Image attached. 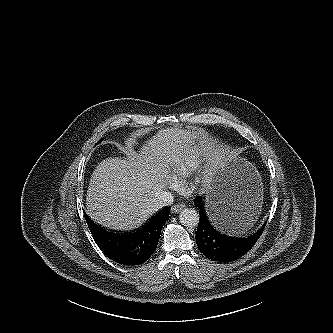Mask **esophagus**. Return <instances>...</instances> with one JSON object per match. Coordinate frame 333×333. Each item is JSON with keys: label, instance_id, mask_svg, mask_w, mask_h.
Returning <instances> with one entry per match:
<instances>
[{"label": "esophagus", "instance_id": "1", "mask_svg": "<svg viewBox=\"0 0 333 333\" xmlns=\"http://www.w3.org/2000/svg\"><path fill=\"white\" fill-rule=\"evenodd\" d=\"M184 208V204H176L171 207L173 213H178Z\"/></svg>", "mask_w": 333, "mask_h": 333}]
</instances>
